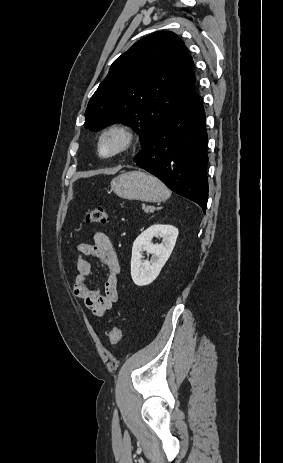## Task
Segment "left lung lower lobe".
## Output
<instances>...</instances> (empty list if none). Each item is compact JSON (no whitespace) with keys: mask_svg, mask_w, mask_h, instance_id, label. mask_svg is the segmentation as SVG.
Masks as SVG:
<instances>
[{"mask_svg":"<svg viewBox=\"0 0 283 463\" xmlns=\"http://www.w3.org/2000/svg\"><path fill=\"white\" fill-rule=\"evenodd\" d=\"M134 162L206 211L207 132L197 94L154 131Z\"/></svg>","mask_w":283,"mask_h":463,"instance_id":"1","label":"left lung lower lobe"}]
</instances>
